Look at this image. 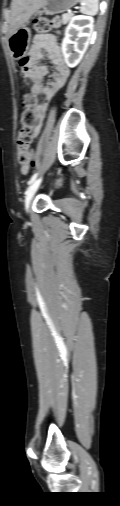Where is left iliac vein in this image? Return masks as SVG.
<instances>
[{
  "instance_id": "left-iliac-vein-1",
  "label": "left iliac vein",
  "mask_w": 120,
  "mask_h": 506,
  "mask_svg": "<svg viewBox=\"0 0 120 506\" xmlns=\"http://www.w3.org/2000/svg\"><path fill=\"white\" fill-rule=\"evenodd\" d=\"M41 181H42L41 178L35 180L32 183V185L29 187V189H28V191L26 193V196H25V208H26L27 211L29 209V206H30V203L32 201V198H33L34 194L36 193L37 189L40 186Z\"/></svg>"
}]
</instances>
